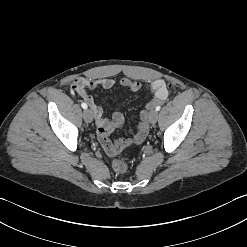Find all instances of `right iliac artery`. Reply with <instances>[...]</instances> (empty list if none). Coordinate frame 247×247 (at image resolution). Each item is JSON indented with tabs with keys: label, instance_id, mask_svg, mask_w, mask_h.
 I'll list each match as a JSON object with an SVG mask.
<instances>
[{
	"label": "right iliac artery",
	"instance_id": "right-iliac-artery-1",
	"mask_svg": "<svg viewBox=\"0 0 247 247\" xmlns=\"http://www.w3.org/2000/svg\"><path fill=\"white\" fill-rule=\"evenodd\" d=\"M81 107H82L83 109H87L88 106H87L86 103L83 102V103L81 104Z\"/></svg>",
	"mask_w": 247,
	"mask_h": 247
}]
</instances>
